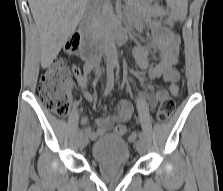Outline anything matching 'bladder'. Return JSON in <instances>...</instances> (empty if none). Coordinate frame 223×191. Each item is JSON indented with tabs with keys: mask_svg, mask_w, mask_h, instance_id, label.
Instances as JSON below:
<instances>
[{
	"mask_svg": "<svg viewBox=\"0 0 223 191\" xmlns=\"http://www.w3.org/2000/svg\"><path fill=\"white\" fill-rule=\"evenodd\" d=\"M91 157L99 165H126L131 160V150L123 138L109 134L93 143Z\"/></svg>",
	"mask_w": 223,
	"mask_h": 191,
	"instance_id": "31cf9c89",
	"label": "bladder"
}]
</instances>
